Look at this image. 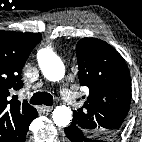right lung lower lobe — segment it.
<instances>
[{"label": "right lung lower lobe", "instance_id": "98d812e1", "mask_svg": "<svg viewBox=\"0 0 142 142\" xmlns=\"http://www.w3.org/2000/svg\"><path fill=\"white\" fill-rule=\"evenodd\" d=\"M25 139H26V137L22 140V142H24V141H25Z\"/></svg>", "mask_w": 142, "mask_h": 142}]
</instances>
